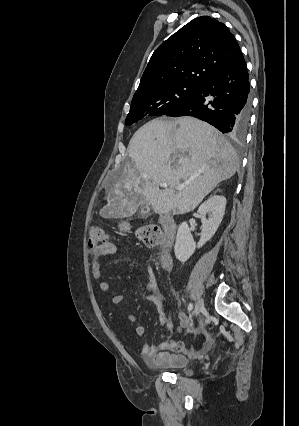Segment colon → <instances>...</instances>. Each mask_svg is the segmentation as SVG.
Listing matches in <instances>:
<instances>
[{"instance_id":"1","label":"colon","mask_w":299,"mask_h":426,"mask_svg":"<svg viewBox=\"0 0 299 426\" xmlns=\"http://www.w3.org/2000/svg\"><path fill=\"white\" fill-rule=\"evenodd\" d=\"M138 238L148 246H156L163 242L164 236L160 228L155 224H149L140 228ZM108 243L106 231L100 226H92L88 233V246L93 250Z\"/></svg>"}]
</instances>
